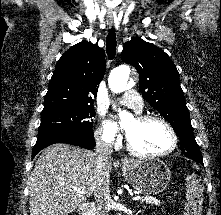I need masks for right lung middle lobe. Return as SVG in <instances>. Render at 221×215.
<instances>
[{"label":"right lung middle lobe","mask_w":221,"mask_h":215,"mask_svg":"<svg viewBox=\"0 0 221 215\" xmlns=\"http://www.w3.org/2000/svg\"><path fill=\"white\" fill-rule=\"evenodd\" d=\"M93 107H81L41 114L38 137L92 130Z\"/></svg>","instance_id":"right-lung-middle-lobe-1"}]
</instances>
